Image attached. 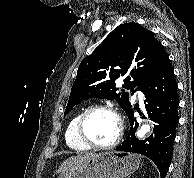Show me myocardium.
Returning a JSON list of instances; mask_svg holds the SVG:
<instances>
[{
    "label": "myocardium",
    "instance_id": "1",
    "mask_svg": "<svg viewBox=\"0 0 194 178\" xmlns=\"http://www.w3.org/2000/svg\"><path fill=\"white\" fill-rule=\"evenodd\" d=\"M95 111H107L109 113H111L117 120L118 122V132L116 137L108 144H97L94 143L93 141H91L85 131H84V124L86 119L88 118V116L95 112ZM123 130H124V124H123V120L122 117L120 115V113L111 105H93L88 107L87 109H85L78 121H77V125H76V135L78 137V139L85 144L86 146L90 147V148H95V149H111L113 147H115L121 140L122 136H123Z\"/></svg>",
    "mask_w": 194,
    "mask_h": 178
}]
</instances>
